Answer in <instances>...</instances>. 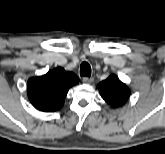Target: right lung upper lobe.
I'll list each match as a JSON object with an SVG mask.
<instances>
[{
  "label": "right lung upper lobe",
  "mask_w": 165,
  "mask_h": 154,
  "mask_svg": "<svg viewBox=\"0 0 165 154\" xmlns=\"http://www.w3.org/2000/svg\"><path fill=\"white\" fill-rule=\"evenodd\" d=\"M78 82L74 73L57 67L45 75L30 78L28 96L36 109L44 112L57 111L63 106L69 88Z\"/></svg>",
  "instance_id": "right-lung-upper-lobe-1"
}]
</instances>
